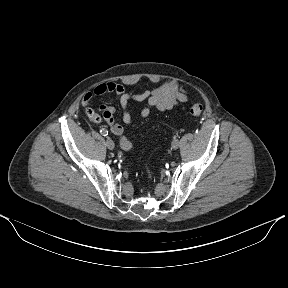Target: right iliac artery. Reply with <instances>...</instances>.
I'll return each mask as SVG.
<instances>
[{
  "label": "right iliac artery",
  "instance_id": "82829eb1",
  "mask_svg": "<svg viewBox=\"0 0 288 288\" xmlns=\"http://www.w3.org/2000/svg\"><path fill=\"white\" fill-rule=\"evenodd\" d=\"M100 133L103 136H107L108 135V131L106 129H104V128L100 130Z\"/></svg>",
  "mask_w": 288,
  "mask_h": 288
}]
</instances>
